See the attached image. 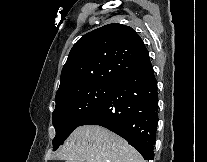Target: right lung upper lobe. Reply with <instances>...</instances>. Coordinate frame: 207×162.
<instances>
[{
  "label": "right lung upper lobe",
  "mask_w": 207,
  "mask_h": 162,
  "mask_svg": "<svg viewBox=\"0 0 207 162\" xmlns=\"http://www.w3.org/2000/svg\"><path fill=\"white\" fill-rule=\"evenodd\" d=\"M148 63V51L131 27L117 23L105 25L74 44L62 69L56 97L87 86L116 84Z\"/></svg>",
  "instance_id": "cb5924a9"
}]
</instances>
